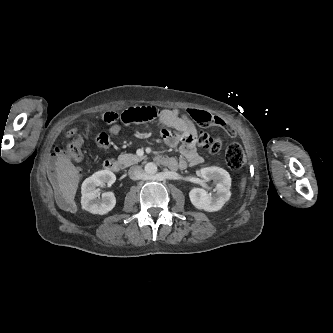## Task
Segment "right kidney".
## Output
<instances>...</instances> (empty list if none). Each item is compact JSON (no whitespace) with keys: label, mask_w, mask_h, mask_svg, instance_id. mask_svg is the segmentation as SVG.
Listing matches in <instances>:
<instances>
[{"label":"right kidney","mask_w":333,"mask_h":333,"mask_svg":"<svg viewBox=\"0 0 333 333\" xmlns=\"http://www.w3.org/2000/svg\"><path fill=\"white\" fill-rule=\"evenodd\" d=\"M116 176L109 170H101L86 178L81 186V205L86 211L93 214L103 215L111 211L116 198L112 192H105L100 197L99 187L111 186Z\"/></svg>","instance_id":"right-kidney-1"}]
</instances>
